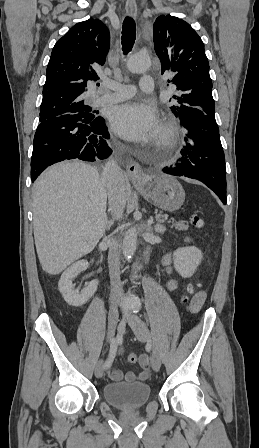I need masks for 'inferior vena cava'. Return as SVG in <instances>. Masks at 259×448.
Masks as SVG:
<instances>
[{
  "instance_id": "obj_1",
  "label": "inferior vena cava",
  "mask_w": 259,
  "mask_h": 448,
  "mask_svg": "<svg viewBox=\"0 0 259 448\" xmlns=\"http://www.w3.org/2000/svg\"><path fill=\"white\" fill-rule=\"evenodd\" d=\"M103 184L107 186L109 210L113 220L121 218L126 206L125 178L117 162L109 160L101 174ZM120 246L115 240L109 242L108 266L111 280V298L113 302H119L123 298V290L120 284Z\"/></svg>"
}]
</instances>
